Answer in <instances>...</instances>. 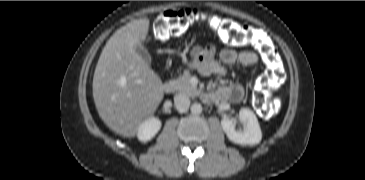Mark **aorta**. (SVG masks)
<instances>
[{
  "label": "aorta",
  "mask_w": 365,
  "mask_h": 180,
  "mask_svg": "<svg viewBox=\"0 0 365 180\" xmlns=\"http://www.w3.org/2000/svg\"><path fill=\"white\" fill-rule=\"evenodd\" d=\"M190 110L192 114H200L202 112V106L200 103H193Z\"/></svg>",
  "instance_id": "aorta-1"
}]
</instances>
